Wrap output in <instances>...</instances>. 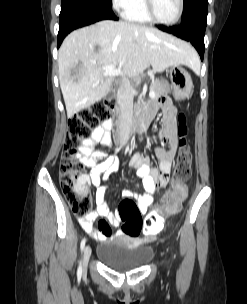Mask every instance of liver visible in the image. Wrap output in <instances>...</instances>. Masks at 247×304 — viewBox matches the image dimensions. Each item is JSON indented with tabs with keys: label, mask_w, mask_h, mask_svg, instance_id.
Listing matches in <instances>:
<instances>
[{
	"label": "liver",
	"mask_w": 247,
	"mask_h": 304,
	"mask_svg": "<svg viewBox=\"0 0 247 304\" xmlns=\"http://www.w3.org/2000/svg\"><path fill=\"white\" fill-rule=\"evenodd\" d=\"M108 65L131 78L150 65L159 73L177 65L199 67L188 43L154 28L110 20L83 27L65 38L58 54L59 82L68 118L108 94L114 80L103 74V67Z\"/></svg>",
	"instance_id": "1"
}]
</instances>
